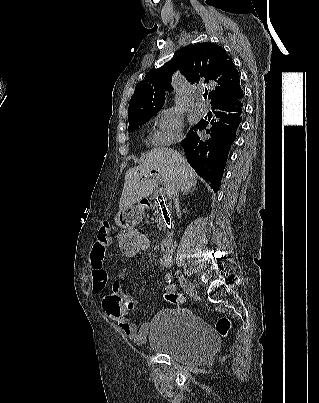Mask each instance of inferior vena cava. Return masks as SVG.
I'll use <instances>...</instances> for the list:
<instances>
[{"label":"inferior vena cava","instance_id":"inferior-vena-cava-1","mask_svg":"<svg viewBox=\"0 0 319 403\" xmlns=\"http://www.w3.org/2000/svg\"><path fill=\"white\" fill-rule=\"evenodd\" d=\"M178 193H179V188L177 186H175L171 191V196L173 198V201H174V204H175V207L177 210L179 208Z\"/></svg>","mask_w":319,"mask_h":403}]
</instances>
